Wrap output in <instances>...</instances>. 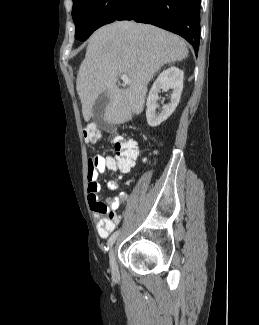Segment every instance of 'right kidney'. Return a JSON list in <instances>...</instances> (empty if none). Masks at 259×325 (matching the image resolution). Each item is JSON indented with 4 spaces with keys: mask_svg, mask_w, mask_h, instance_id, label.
<instances>
[{
    "mask_svg": "<svg viewBox=\"0 0 259 325\" xmlns=\"http://www.w3.org/2000/svg\"><path fill=\"white\" fill-rule=\"evenodd\" d=\"M184 73L175 66H171L164 70L153 83L146 103V118L148 125L156 127L165 121L176 109L179 104L182 89H183ZM172 89L170 103L162 107V112L156 114L157 101L159 92Z\"/></svg>",
    "mask_w": 259,
    "mask_h": 325,
    "instance_id": "right-kidney-1",
    "label": "right kidney"
}]
</instances>
